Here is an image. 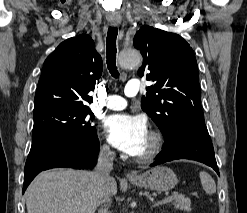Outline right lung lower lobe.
I'll use <instances>...</instances> for the list:
<instances>
[{
	"label": "right lung lower lobe",
	"mask_w": 247,
	"mask_h": 213,
	"mask_svg": "<svg viewBox=\"0 0 247 213\" xmlns=\"http://www.w3.org/2000/svg\"><path fill=\"white\" fill-rule=\"evenodd\" d=\"M99 141L85 145L73 135L55 137L31 147L25 171L23 193L34 177L41 171L57 168H92L97 162Z\"/></svg>",
	"instance_id": "1"
}]
</instances>
